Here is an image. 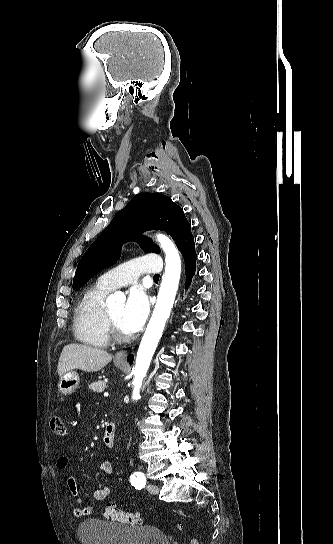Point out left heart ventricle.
Here are the masks:
<instances>
[{"mask_svg":"<svg viewBox=\"0 0 333 544\" xmlns=\"http://www.w3.org/2000/svg\"><path fill=\"white\" fill-rule=\"evenodd\" d=\"M123 308H124V306H123L122 304L117 305V306H115V307H113V308H110V309H109V313H110V315L112 316V318L115 320V322L117 323L119 329H120L122 332L126 333V332L124 331V329L121 327V324H120V319H121V315H122Z\"/></svg>","mask_w":333,"mask_h":544,"instance_id":"left-heart-ventricle-1","label":"left heart ventricle"}]
</instances>
